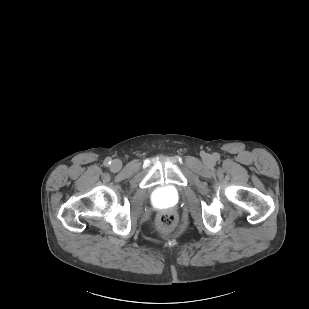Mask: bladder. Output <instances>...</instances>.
<instances>
[{
	"label": "bladder",
	"instance_id": "1",
	"mask_svg": "<svg viewBox=\"0 0 309 309\" xmlns=\"http://www.w3.org/2000/svg\"><path fill=\"white\" fill-rule=\"evenodd\" d=\"M179 199V196L176 192L171 190L169 187H163L156 191L154 195V202L157 205L171 203V202H177Z\"/></svg>",
	"mask_w": 309,
	"mask_h": 309
}]
</instances>
